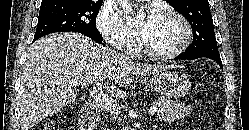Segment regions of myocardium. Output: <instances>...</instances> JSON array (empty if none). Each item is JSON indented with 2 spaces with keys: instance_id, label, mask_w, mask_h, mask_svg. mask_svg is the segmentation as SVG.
<instances>
[{
  "instance_id": "obj_1",
  "label": "myocardium",
  "mask_w": 249,
  "mask_h": 130,
  "mask_svg": "<svg viewBox=\"0 0 249 130\" xmlns=\"http://www.w3.org/2000/svg\"><path fill=\"white\" fill-rule=\"evenodd\" d=\"M159 15L172 17L180 22L183 27V37L181 41L171 50L165 52H154L150 50L143 39H140L141 52L150 59L153 60H167L180 55L191 43L193 38V31L189 21L180 13L175 10H165Z\"/></svg>"
}]
</instances>
